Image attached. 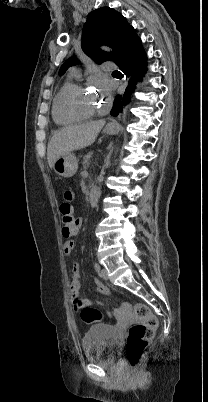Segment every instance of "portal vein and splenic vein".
Returning <instances> with one entry per match:
<instances>
[{"mask_svg": "<svg viewBox=\"0 0 208 402\" xmlns=\"http://www.w3.org/2000/svg\"><path fill=\"white\" fill-rule=\"evenodd\" d=\"M88 157H89V158H93V157H94V154H93V153H89V154H88ZM83 164H84L85 167H89V166H90V161H89V160H85V161H83Z\"/></svg>", "mask_w": 208, "mask_h": 402, "instance_id": "1", "label": "portal vein and splenic vein"}]
</instances>
